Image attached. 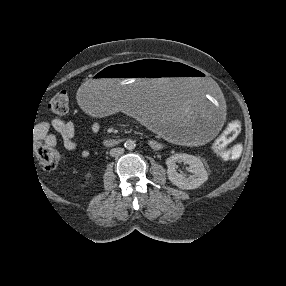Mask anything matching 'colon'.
I'll use <instances>...</instances> for the list:
<instances>
[{
  "mask_svg": "<svg viewBox=\"0 0 286 286\" xmlns=\"http://www.w3.org/2000/svg\"><path fill=\"white\" fill-rule=\"evenodd\" d=\"M48 109L55 115L63 116L69 111V96L66 92H59L48 102ZM241 131V122L234 119L228 123L223 132L214 143V150L223 156H228V146L232 143ZM34 152L40 166L45 171H53L58 164V152L45 141H37L34 145Z\"/></svg>",
  "mask_w": 286,
  "mask_h": 286,
  "instance_id": "1",
  "label": "colon"
}]
</instances>
